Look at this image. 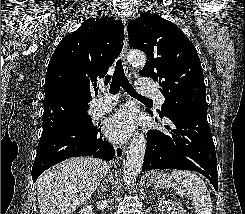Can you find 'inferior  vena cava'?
<instances>
[{
  "label": "inferior vena cava",
  "mask_w": 245,
  "mask_h": 214,
  "mask_svg": "<svg viewBox=\"0 0 245 214\" xmlns=\"http://www.w3.org/2000/svg\"><path fill=\"white\" fill-rule=\"evenodd\" d=\"M108 181H110V182H111V179H110L109 177H108V180H107V182H108Z\"/></svg>",
  "instance_id": "1"
}]
</instances>
